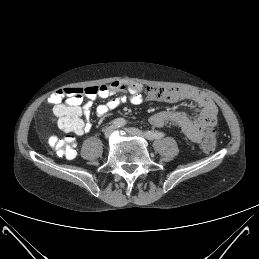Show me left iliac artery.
Segmentation results:
<instances>
[{
    "instance_id": "left-iliac-artery-1",
    "label": "left iliac artery",
    "mask_w": 259,
    "mask_h": 259,
    "mask_svg": "<svg viewBox=\"0 0 259 259\" xmlns=\"http://www.w3.org/2000/svg\"><path fill=\"white\" fill-rule=\"evenodd\" d=\"M145 132L152 133L155 136V139H160L165 135L164 133L158 132V131H145Z\"/></svg>"
}]
</instances>
